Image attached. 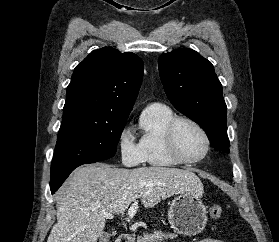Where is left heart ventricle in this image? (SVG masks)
Instances as JSON below:
<instances>
[{
  "mask_svg": "<svg viewBox=\"0 0 279 242\" xmlns=\"http://www.w3.org/2000/svg\"><path fill=\"white\" fill-rule=\"evenodd\" d=\"M176 140L180 152L187 158L200 157L205 151V141L200 132L188 123L179 124Z\"/></svg>",
  "mask_w": 279,
  "mask_h": 242,
  "instance_id": "1",
  "label": "left heart ventricle"
}]
</instances>
